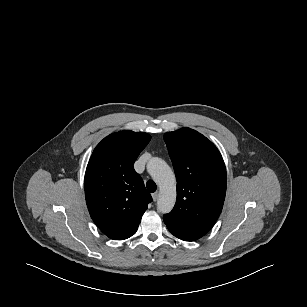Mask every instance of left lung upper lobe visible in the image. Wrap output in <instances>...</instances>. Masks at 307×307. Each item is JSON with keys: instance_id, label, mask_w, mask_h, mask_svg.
<instances>
[{"instance_id": "5c2ea615", "label": "left lung upper lobe", "mask_w": 307, "mask_h": 307, "mask_svg": "<svg viewBox=\"0 0 307 307\" xmlns=\"http://www.w3.org/2000/svg\"><path fill=\"white\" fill-rule=\"evenodd\" d=\"M177 180L175 207L166 225L197 240L219 217L226 194L225 164L216 146L190 128L164 134Z\"/></svg>"}]
</instances>
